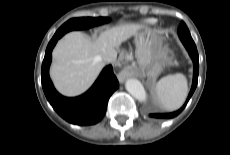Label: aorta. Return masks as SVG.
<instances>
[{"mask_svg":"<svg viewBox=\"0 0 230 155\" xmlns=\"http://www.w3.org/2000/svg\"><path fill=\"white\" fill-rule=\"evenodd\" d=\"M125 88L138 101L140 102L146 101L147 98L146 91L144 89V86L139 80L135 78L127 79L125 82Z\"/></svg>","mask_w":230,"mask_h":155,"instance_id":"obj_1","label":"aorta"}]
</instances>
